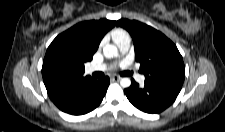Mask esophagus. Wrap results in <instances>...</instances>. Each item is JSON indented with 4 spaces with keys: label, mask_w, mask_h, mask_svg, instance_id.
Returning a JSON list of instances; mask_svg holds the SVG:
<instances>
[{
    "label": "esophagus",
    "mask_w": 225,
    "mask_h": 132,
    "mask_svg": "<svg viewBox=\"0 0 225 132\" xmlns=\"http://www.w3.org/2000/svg\"><path fill=\"white\" fill-rule=\"evenodd\" d=\"M121 79V77H119V76H112L111 77V80H113V81H119Z\"/></svg>",
    "instance_id": "obj_1"
}]
</instances>
